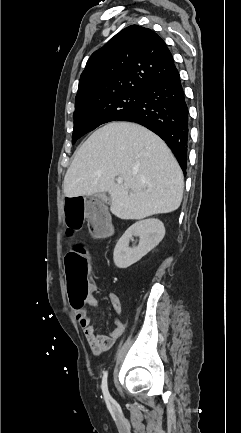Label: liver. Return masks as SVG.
Listing matches in <instances>:
<instances>
[{"instance_id": "obj_1", "label": "liver", "mask_w": 241, "mask_h": 433, "mask_svg": "<svg viewBox=\"0 0 241 433\" xmlns=\"http://www.w3.org/2000/svg\"><path fill=\"white\" fill-rule=\"evenodd\" d=\"M183 190L182 170L165 142L129 122L96 130L75 152L63 181L68 198L108 192L110 211L123 220L173 212Z\"/></svg>"}]
</instances>
